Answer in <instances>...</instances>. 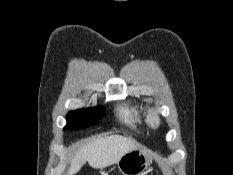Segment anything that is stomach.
Instances as JSON below:
<instances>
[{"label":"stomach","instance_id":"0dacf381","mask_svg":"<svg viewBox=\"0 0 233 175\" xmlns=\"http://www.w3.org/2000/svg\"><path fill=\"white\" fill-rule=\"evenodd\" d=\"M151 157L147 149L137 147L124 154L117 162L123 175H141L149 166Z\"/></svg>","mask_w":233,"mask_h":175}]
</instances>
